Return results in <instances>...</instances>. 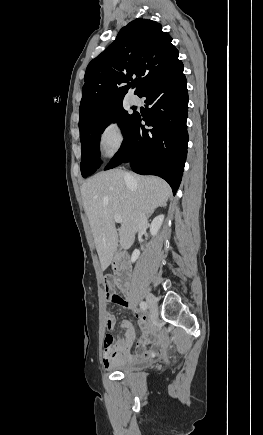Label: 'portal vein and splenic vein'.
I'll use <instances>...</instances> for the list:
<instances>
[{
	"label": "portal vein and splenic vein",
	"instance_id": "1",
	"mask_svg": "<svg viewBox=\"0 0 263 435\" xmlns=\"http://www.w3.org/2000/svg\"><path fill=\"white\" fill-rule=\"evenodd\" d=\"M114 221L116 223H122L123 222V220H122V218L120 216H114Z\"/></svg>",
	"mask_w": 263,
	"mask_h": 435
}]
</instances>
